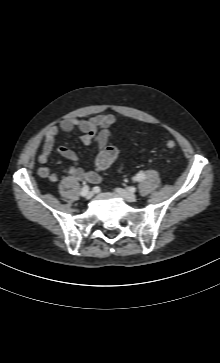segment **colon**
<instances>
[{"label": "colon", "mask_w": 220, "mask_h": 363, "mask_svg": "<svg viewBox=\"0 0 220 363\" xmlns=\"http://www.w3.org/2000/svg\"><path fill=\"white\" fill-rule=\"evenodd\" d=\"M165 146L168 150H174L176 148V142L173 139L168 138L165 140ZM117 156H118L117 149L113 146H107L103 153V164L105 166L110 165L115 161Z\"/></svg>", "instance_id": "obj_1"}]
</instances>
